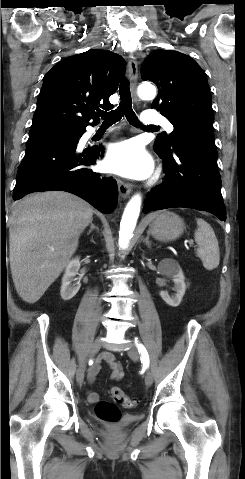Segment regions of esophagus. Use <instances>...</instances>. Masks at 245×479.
Segmentation results:
<instances>
[{"mask_svg":"<svg viewBox=\"0 0 245 479\" xmlns=\"http://www.w3.org/2000/svg\"><path fill=\"white\" fill-rule=\"evenodd\" d=\"M128 77L130 79L131 89L134 97H136V85L138 78V65L135 59L131 58L128 61ZM118 189L121 197L126 198L130 195L132 191V184L125 183L121 180H118Z\"/></svg>","mask_w":245,"mask_h":479,"instance_id":"1","label":"esophagus"}]
</instances>
